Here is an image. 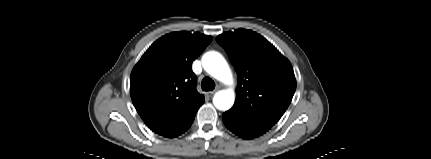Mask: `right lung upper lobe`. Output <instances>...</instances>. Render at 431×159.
<instances>
[{
    "mask_svg": "<svg viewBox=\"0 0 431 159\" xmlns=\"http://www.w3.org/2000/svg\"><path fill=\"white\" fill-rule=\"evenodd\" d=\"M200 33L173 32L159 38L132 70L130 94L140 117L155 133L178 136L204 103L192 62L211 42Z\"/></svg>",
    "mask_w": 431,
    "mask_h": 159,
    "instance_id": "right-lung-upper-lobe-1",
    "label": "right lung upper lobe"
}]
</instances>
